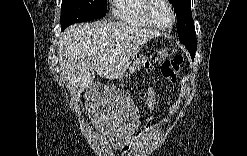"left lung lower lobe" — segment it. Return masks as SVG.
Wrapping results in <instances>:
<instances>
[{
    "label": "left lung lower lobe",
    "mask_w": 247,
    "mask_h": 156,
    "mask_svg": "<svg viewBox=\"0 0 247 156\" xmlns=\"http://www.w3.org/2000/svg\"><path fill=\"white\" fill-rule=\"evenodd\" d=\"M191 57H192V60H193L194 57H195V53H191Z\"/></svg>",
    "instance_id": "left-lung-lower-lobe-1"
}]
</instances>
